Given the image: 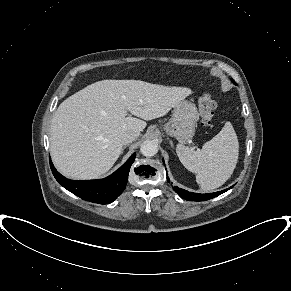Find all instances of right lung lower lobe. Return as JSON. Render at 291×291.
Masks as SVG:
<instances>
[{"instance_id":"obj_1","label":"right lung lower lobe","mask_w":291,"mask_h":291,"mask_svg":"<svg viewBox=\"0 0 291 291\" xmlns=\"http://www.w3.org/2000/svg\"><path fill=\"white\" fill-rule=\"evenodd\" d=\"M135 157L136 153H134L116 172L100 180H69L55 169L51 160L50 167L59 184L71 193L89 202L109 204L124 191L128 181L129 170Z\"/></svg>"}]
</instances>
